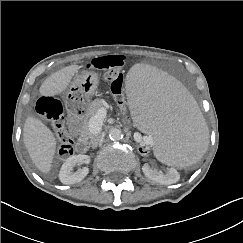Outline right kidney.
Returning <instances> with one entry per match:
<instances>
[{"label":"right kidney","instance_id":"1","mask_svg":"<svg viewBox=\"0 0 243 243\" xmlns=\"http://www.w3.org/2000/svg\"><path fill=\"white\" fill-rule=\"evenodd\" d=\"M90 157L88 155H74L69 157L62 165L59 172V179L63 184H74L83 180L89 173L88 167H83L77 171H73L74 166L81 164H89Z\"/></svg>","mask_w":243,"mask_h":243}]
</instances>
